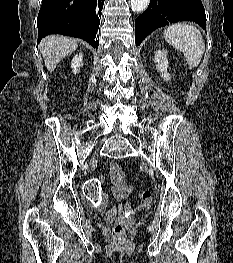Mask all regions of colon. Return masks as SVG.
Here are the masks:
<instances>
[{"instance_id":"colon-1","label":"colon","mask_w":233,"mask_h":263,"mask_svg":"<svg viewBox=\"0 0 233 263\" xmlns=\"http://www.w3.org/2000/svg\"><path fill=\"white\" fill-rule=\"evenodd\" d=\"M102 174L101 172L99 173ZM84 190L87 194L84 195L88 199L90 208H95L103 198L104 191L101 190V181L99 178H88V182L84 183ZM143 205H148L152 200V195L149 191H144L140 195ZM113 235L120 237L124 232V225L121 222H116L113 226Z\"/></svg>"}]
</instances>
